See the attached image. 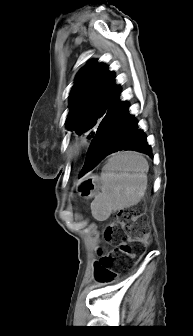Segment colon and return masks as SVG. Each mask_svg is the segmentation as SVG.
Instances as JSON below:
<instances>
[{
  "label": "colon",
  "mask_w": 193,
  "mask_h": 336,
  "mask_svg": "<svg viewBox=\"0 0 193 336\" xmlns=\"http://www.w3.org/2000/svg\"><path fill=\"white\" fill-rule=\"evenodd\" d=\"M103 236L107 243L115 247L111 251L100 253L96 275L98 279L108 281L114 277L113 263L116 257H138L143 247L149 243V226L136 210H121L105 227Z\"/></svg>",
  "instance_id": "1"
}]
</instances>
